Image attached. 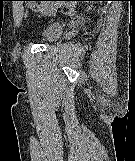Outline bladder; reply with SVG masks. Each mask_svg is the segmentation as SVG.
Wrapping results in <instances>:
<instances>
[{"label": "bladder", "mask_w": 135, "mask_h": 161, "mask_svg": "<svg viewBox=\"0 0 135 161\" xmlns=\"http://www.w3.org/2000/svg\"><path fill=\"white\" fill-rule=\"evenodd\" d=\"M63 31V24L57 21L45 24L38 34V39L44 42L53 41L58 38Z\"/></svg>", "instance_id": "31cf9c89"}]
</instances>
